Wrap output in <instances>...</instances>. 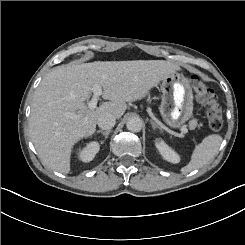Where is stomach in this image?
<instances>
[{
	"label": "stomach",
	"instance_id": "1",
	"mask_svg": "<svg viewBox=\"0 0 245 245\" xmlns=\"http://www.w3.org/2000/svg\"><path fill=\"white\" fill-rule=\"evenodd\" d=\"M158 84L163 94L160 112L168 123L177 126L192 117V88L182 73H169Z\"/></svg>",
	"mask_w": 245,
	"mask_h": 245
}]
</instances>
